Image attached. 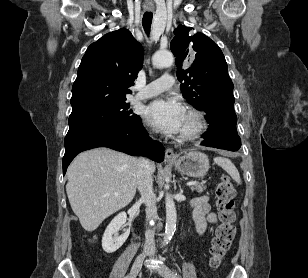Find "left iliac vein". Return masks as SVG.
<instances>
[{
    "label": "left iliac vein",
    "instance_id": "left-iliac-vein-1",
    "mask_svg": "<svg viewBox=\"0 0 308 278\" xmlns=\"http://www.w3.org/2000/svg\"><path fill=\"white\" fill-rule=\"evenodd\" d=\"M158 273L164 278H178L177 275L168 267L161 266L157 269Z\"/></svg>",
    "mask_w": 308,
    "mask_h": 278
}]
</instances>
